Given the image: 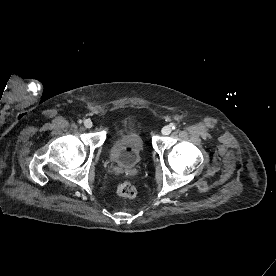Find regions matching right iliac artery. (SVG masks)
<instances>
[{
    "label": "right iliac artery",
    "mask_w": 276,
    "mask_h": 276,
    "mask_svg": "<svg viewBox=\"0 0 276 276\" xmlns=\"http://www.w3.org/2000/svg\"><path fill=\"white\" fill-rule=\"evenodd\" d=\"M78 123L81 124V123H82V120H78Z\"/></svg>",
    "instance_id": "obj_1"
}]
</instances>
